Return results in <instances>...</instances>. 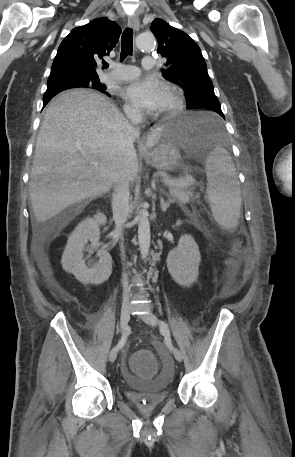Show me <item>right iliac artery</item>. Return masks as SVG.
Returning <instances> with one entry per match:
<instances>
[{
	"label": "right iliac artery",
	"mask_w": 295,
	"mask_h": 457,
	"mask_svg": "<svg viewBox=\"0 0 295 457\" xmlns=\"http://www.w3.org/2000/svg\"><path fill=\"white\" fill-rule=\"evenodd\" d=\"M126 329H127V328H126ZM126 339H127V334H126V332H124V334H123L121 340L119 341V343H118L117 346H116V349H117V350L121 349V348L124 346V344H125V342H126Z\"/></svg>",
	"instance_id": "1"
}]
</instances>
